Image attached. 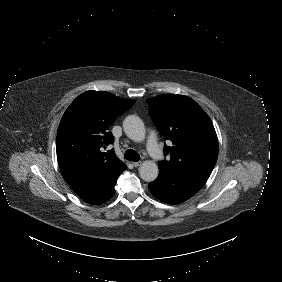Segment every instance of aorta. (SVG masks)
I'll return each mask as SVG.
<instances>
[{
    "label": "aorta",
    "mask_w": 282,
    "mask_h": 282,
    "mask_svg": "<svg viewBox=\"0 0 282 282\" xmlns=\"http://www.w3.org/2000/svg\"><path fill=\"white\" fill-rule=\"evenodd\" d=\"M123 130L130 139L135 141H140L145 136L144 122L138 115L126 116L123 120ZM158 174V166L152 161H146L139 167V175L146 182L155 181Z\"/></svg>",
    "instance_id": "762f6f07"
}]
</instances>
